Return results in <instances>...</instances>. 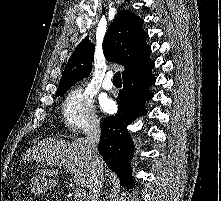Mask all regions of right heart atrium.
Listing matches in <instances>:
<instances>
[{
  "instance_id": "d8ad5b80",
  "label": "right heart atrium",
  "mask_w": 221,
  "mask_h": 201,
  "mask_svg": "<svg viewBox=\"0 0 221 201\" xmlns=\"http://www.w3.org/2000/svg\"><path fill=\"white\" fill-rule=\"evenodd\" d=\"M61 117L64 126L72 132L84 131L99 125L93 97L84 86L72 88L62 103Z\"/></svg>"
}]
</instances>
